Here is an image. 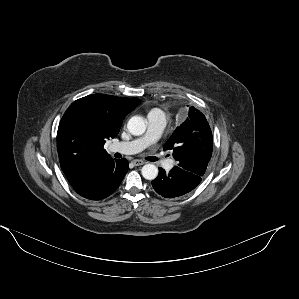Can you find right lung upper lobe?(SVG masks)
I'll return each instance as SVG.
<instances>
[{
    "instance_id": "cb5924a9",
    "label": "right lung upper lobe",
    "mask_w": 299,
    "mask_h": 299,
    "mask_svg": "<svg viewBox=\"0 0 299 299\" xmlns=\"http://www.w3.org/2000/svg\"><path fill=\"white\" fill-rule=\"evenodd\" d=\"M138 98L93 94L74 101L64 113L57 132L60 166L72 186L81 184L92 168L112 159L103 148L114 138Z\"/></svg>"
}]
</instances>
